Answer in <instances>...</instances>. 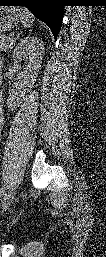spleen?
Listing matches in <instances>:
<instances>
[{"instance_id":"3e777b00","label":"spleen","mask_w":106,"mask_h":257,"mask_svg":"<svg viewBox=\"0 0 106 257\" xmlns=\"http://www.w3.org/2000/svg\"><path fill=\"white\" fill-rule=\"evenodd\" d=\"M33 21L31 13L27 9H24L21 16V22L24 27H30Z\"/></svg>"}]
</instances>
